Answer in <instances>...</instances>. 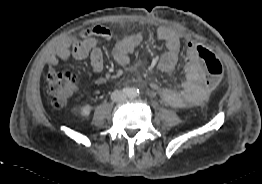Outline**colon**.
<instances>
[{
  "label": "colon",
  "instance_id": "colon-1",
  "mask_svg": "<svg viewBox=\"0 0 262 184\" xmlns=\"http://www.w3.org/2000/svg\"><path fill=\"white\" fill-rule=\"evenodd\" d=\"M194 54L204 66L207 85L210 88L217 87L224 74V68L219 58L212 50L202 45L195 46ZM74 88L75 77L70 70L54 71L47 77V91L54 108L64 107Z\"/></svg>",
  "mask_w": 262,
  "mask_h": 184
}]
</instances>
